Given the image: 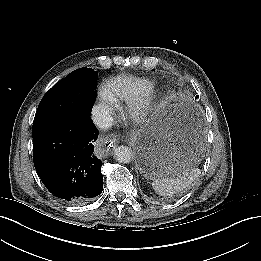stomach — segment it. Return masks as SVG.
I'll use <instances>...</instances> for the list:
<instances>
[{
  "instance_id": "0dacf381",
  "label": "stomach",
  "mask_w": 261,
  "mask_h": 261,
  "mask_svg": "<svg viewBox=\"0 0 261 261\" xmlns=\"http://www.w3.org/2000/svg\"><path fill=\"white\" fill-rule=\"evenodd\" d=\"M185 97L161 101L150 120L132 134L137 162L144 176L154 179L168 170L191 168L201 154L200 141L187 132L190 111Z\"/></svg>"
}]
</instances>
